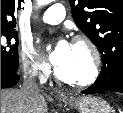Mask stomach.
I'll list each match as a JSON object with an SVG mask.
<instances>
[{
  "label": "stomach",
  "mask_w": 123,
  "mask_h": 113,
  "mask_svg": "<svg viewBox=\"0 0 123 113\" xmlns=\"http://www.w3.org/2000/svg\"><path fill=\"white\" fill-rule=\"evenodd\" d=\"M58 98L66 105H70L71 107L78 109L80 113H110L109 104L99 97H73L61 94Z\"/></svg>",
  "instance_id": "stomach-1"
}]
</instances>
